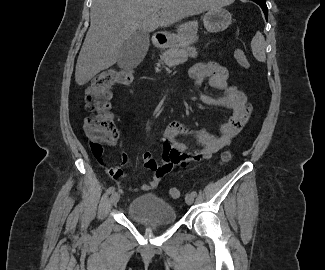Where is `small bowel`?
<instances>
[{
	"instance_id": "c3829d8e",
	"label": "small bowel",
	"mask_w": 325,
	"mask_h": 270,
	"mask_svg": "<svg viewBox=\"0 0 325 270\" xmlns=\"http://www.w3.org/2000/svg\"><path fill=\"white\" fill-rule=\"evenodd\" d=\"M189 75L194 80L197 97L203 104L227 107L232 112L231 116L220 126L218 135L211 134L204 129L189 127L180 121L169 123L163 132L161 141L164 161L158 164L150 152L143 153V165L153 175L148 183L135 188L136 191H149L156 188L173 167L186 166L193 160L211 158L230 144L248 120L251 106L247 105L245 94L235 85L228 83V72L224 66L212 62L197 63L192 66ZM205 81L210 87L223 91V96L212 97L201 93L200 87ZM183 138L192 139L199 145V148L190 150ZM96 160L102 167L107 168L108 173L116 181L122 180L125 176V169L130 167V160L126 155L121 156L123 167H107L103 157L96 158Z\"/></svg>"
}]
</instances>
